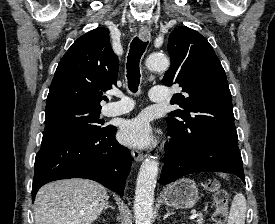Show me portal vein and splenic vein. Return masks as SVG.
<instances>
[{
    "instance_id": "portal-vein-and-splenic-vein-1",
    "label": "portal vein and splenic vein",
    "mask_w": 275,
    "mask_h": 224,
    "mask_svg": "<svg viewBox=\"0 0 275 224\" xmlns=\"http://www.w3.org/2000/svg\"><path fill=\"white\" fill-rule=\"evenodd\" d=\"M198 217V214L196 212H194L191 216H190V219H195Z\"/></svg>"
}]
</instances>
